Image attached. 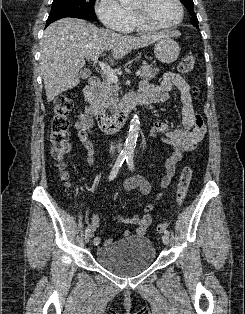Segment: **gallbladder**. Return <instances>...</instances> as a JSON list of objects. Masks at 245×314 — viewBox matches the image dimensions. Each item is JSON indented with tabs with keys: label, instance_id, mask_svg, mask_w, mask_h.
<instances>
[{
	"label": "gallbladder",
	"instance_id": "bac80fb5",
	"mask_svg": "<svg viewBox=\"0 0 245 314\" xmlns=\"http://www.w3.org/2000/svg\"><path fill=\"white\" fill-rule=\"evenodd\" d=\"M81 79H87L91 75V71L87 68H84L79 73Z\"/></svg>",
	"mask_w": 245,
	"mask_h": 314
}]
</instances>
